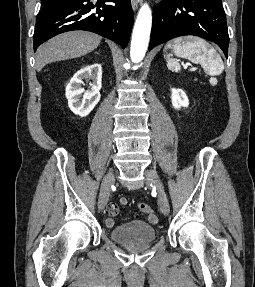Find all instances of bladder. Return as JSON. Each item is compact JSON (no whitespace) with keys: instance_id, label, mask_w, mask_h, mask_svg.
Listing matches in <instances>:
<instances>
[{"instance_id":"1","label":"bladder","mask_w":255,"mask_h":287,"mask_svg":"<svg viewBox=\"0 0 255 287\" xmlns=\"http://www.w3.org/2000/svg\"><path fill=\"white\" fill-rule=\"evenodd\" d=\"M109 238L120 244H146L157 238V229L144 221H130L108 230Z\"/></svg>"}]
</instances>
